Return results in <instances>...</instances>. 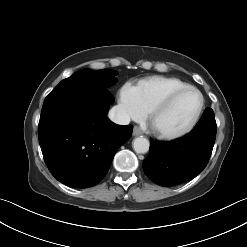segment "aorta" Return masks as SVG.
<instances>
[{"label": "aorta", "instance_id": "762f6f07", "mask_svg": "<svg viewBox=\"0 0 247 247\" xmlns=\"http://www.w3.org/2000/svg\"><path fill=\"white\" fill-rule=\"evenodd\" d=\"M133 149L136 153L145 154L149 150V141L144 137H137L133 141Z\"/></svg>", "mask_w": 247, "mask_h": 247}]
</instances>
